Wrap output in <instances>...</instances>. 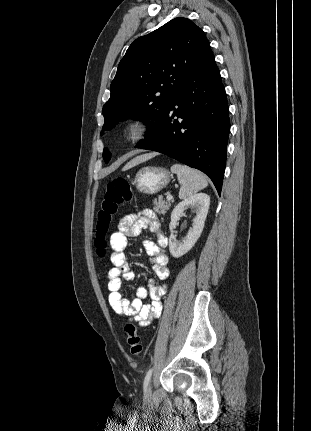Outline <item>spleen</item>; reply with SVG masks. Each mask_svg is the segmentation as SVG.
<instances>
[{
  "instance_id": "spleen-1",
  "label": "spleen",
  "mask_w": 311,
  "mask_h": 431,
  "mask_svg": "<svg viewBox=\"0 0 311 431\" xmlns=\"http://www.w3.org/2000/svg\"><path fill=\"white\" fill-rule=\"evenodd\" d=\"M172 174H177L178 182L181 186L179 192L180 200H186L190 196H194L196 192H200L203 188L208 186V182L198 170L188 168V166H181V164H174L170 168Z\"/></svg>"
}]
</instances>
